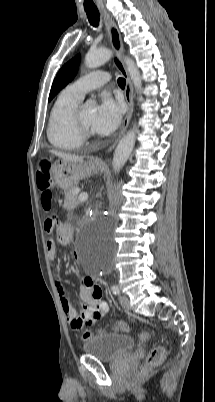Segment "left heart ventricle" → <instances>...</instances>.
<instances>
[{"label":"left heart ventricle","mask_w":215,"mask_h":402,"mask_svg":"<svg viewBox=\"0 0 215 402\" xmlns=\"http://www.w3.org/2000/svg\"><path fill=\"white\" fill-rule=\"evenodd\" d=\"M96 108L91 105H84L81 109V120L85 127L92 130V122L94 119Z\"/></svg>","instance_id":"1"}]
</instances>
